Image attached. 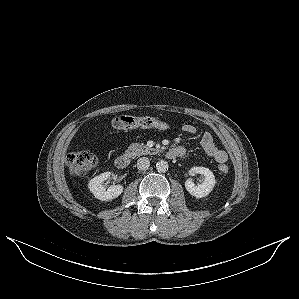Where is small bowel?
I'll use <instances>...</instances> for the list:
<instances>
[{
    "instance_id": "c3829d8e",
    "label": "small bowel",
    "mask_w": 299,
    "mask_h": 299,
    "mask_svg": "<svg viewBox=\"0 0 299 299\" xmlns=\"http://www.w3.org/2000/svg\"><path fill=\"white\" fill-rule=\"evenodd\" d=\"M183 132L187 134H195L196 127L191 124H185L182 127ZM201 144L205 152L215 159L216 162L222 164L225 163L228 159L227 152L223 149H220L216 146L213 136L209 132H205L201 139Z\"/></svg>"
}]
</instances>
